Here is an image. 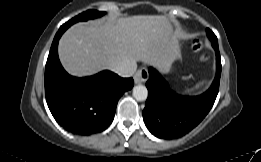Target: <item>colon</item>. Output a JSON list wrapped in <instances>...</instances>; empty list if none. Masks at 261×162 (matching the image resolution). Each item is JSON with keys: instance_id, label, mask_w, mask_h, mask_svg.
I'll return each mask as SVG.
<instances>
[{"instance_id": "colon-1", "label": "colon", "mask_w": 261, "mask_h": 162, "mask_svg": "<svg viewBox=\"0 0 261 162\" xmlns=\"http://www.w3.org/2000/svg\"><path fill=\"white\" fill-rule=\"evenodd\" d=\"M201 48H202V44H201L200 41L196 40V41L193 42V49H194L195 51H200ZM203 60L206 61V60H207V57L204 56V57H203Z\"/></svg>"}]
</instances>
